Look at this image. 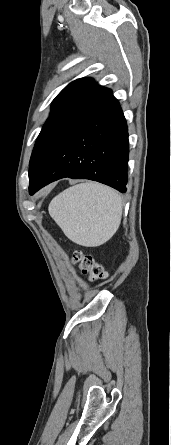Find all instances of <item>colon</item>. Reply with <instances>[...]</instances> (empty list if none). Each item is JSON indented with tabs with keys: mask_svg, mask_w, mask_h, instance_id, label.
<instances>
[{
	"mask_svg": "<svg viewBox=\"0 0 171 445\" xmlns=\"http://www.w3.org/2000/svg\"><path fill=\"white\" fill-rule=\"evenodd\" d=\"M72 260L85 274H88L91 281L103 280L107 277L105 268L91 254L75 251Z\"/></svg>",
	"mask_w": 171,
	"mask_h": 445,
	"instance_id": "1",
	"label": "colon"
}]
</instances>
